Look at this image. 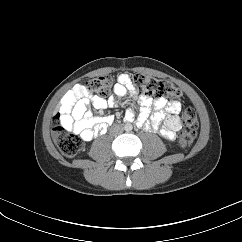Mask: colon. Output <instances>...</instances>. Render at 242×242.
Wrapping results in <instances>:
<instances>
[{"instance_id":"obj_1","label":"colon","mask_w":242,"mask_h":242,"mask_svg":"<svg viewBox=\"0 0 242 242\" xmlns=\"http://www.w3.org/2000/svg\"><path fill=\"white\" fill-rule=\"evenodd\" d=\"M113 78L111 75H102L86 82V89L96 92L100 96H106L111 92ZM135 89L142 95H152L156 98L178 99L182 96L179 88L166 80L158 79L144 74L134 75ZM181 121L183 128L179 133V143L182 147H190L195 139L198 119L196 111L193 108H186L182 115ZM53 138L66 157L76 156L83 147L82 140L72 134L62 123L61 113H57L53 120Z\"/></svg>"}]
</instances>
